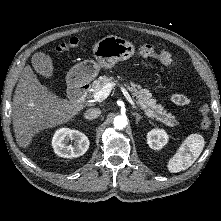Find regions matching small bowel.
I'll return each instance as SVG.
<instances>
[{"label":"small bowel","mask_w":221,"mask_h":221,"mask_svg":"<svg viewBox=\"0 0 221 221\" xmlns=\"http://www.w3.org/2000/svg\"><path fill=\"white\" fill-rule=\"evenodd\" d=\"M170 99L174 104L178 106H185L189 104V99L182 94H172Z\"/></svg>","instance_id":"small-bowel-1"}]
</instances>
